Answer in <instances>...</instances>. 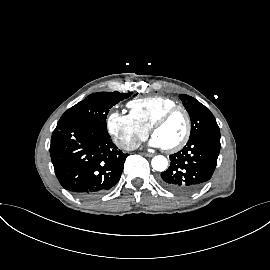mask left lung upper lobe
I'll use <instances>...</instances> for the list:
<instances>
[{"label":"left lung upper lobe","mask_w":270,"mask_h":270,"mask_svg":"<svg viewBox=\"0 0 270 270\" xmlns=\"http://www.w3.org/2000/svg\"><path fill=\"white\" fill-rule=\"evenodd\" d=\"M179 97L191 119L189 141L201 135H220L216 119L207 107L191 96L181 94Z\"/></svg>","instance_id":"obj_1"}]
</instances>
